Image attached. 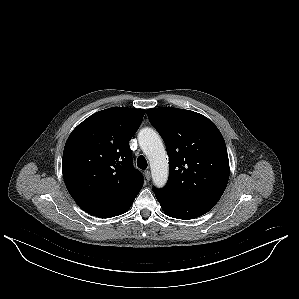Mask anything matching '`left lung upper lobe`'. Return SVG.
<instances>
[{"label":"left lung upper lobe","instance_id":"1","mask_svg":"<svg viewBox=\"0 0 299 299\" xmlns=\"http://www.w3.org/2000/svg\"><path fill=\"white\" fill-rule=\"evenodd\" d=\"M152 125L163 138L169 156V179L162 195L218 202L229 179L224 138L205 116L178 108L148 109Z\"/></svg>","mask_w":299,"mask_h":299}]
</instances>
